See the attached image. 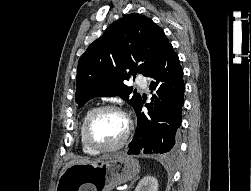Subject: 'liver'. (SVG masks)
<instances>
[{
  "label": "liver",
  "instance_id": "1",
  "mask_svg": "<svg viewBox=\"0 0 251 191\" xmlns=\"http://www.w3.org/2000/svg\"><path fill=\"white\" fill-rule=\"evenodd\" d=\"M75 163H95V161H91L89 157H86V159H71V161H68L67 165L63 167V169H66V167H70V165H75ZM63 169L62 171H60V175H62Z\"/></svg>",
  "mask_w": 251,
  "mask_h": 191
}]
</instances>
